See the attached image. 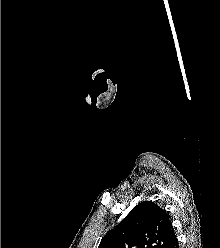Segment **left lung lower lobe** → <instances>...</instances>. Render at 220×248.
Instances as JSON below:
<instances>
[{"instance_id": "obj_1", "label": "left lung lower lobe", "mask_w": 220, "mask_h": 248, "mask_svg": "<svg viewBox=\"0 0 220 248\" xmlns=\"http://www.w3.org/2000/svg\"><path fill=\"white\" fill-rule=\"evenodd\" d=\"M165 248H179L178 241H177V238H176L175 234L171 238V240L169 241V243L166 245Z\"/></svg>"}]
</instances>
